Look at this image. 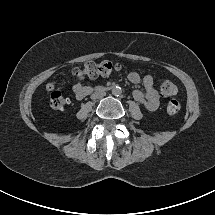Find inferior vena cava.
<instances>
[{"label":"inferior vena cava","mask_w":215,"mask_h":215,"mask_svg":"<svg viewBox=\"0 0 215 215\" xmlns=\"http://www.w3.org/2000/svg\"><path fill=\"white\" fill-rule=\"evenodd\" d=\"M106 94L104 92H98L96 95L93 96V100H97L103 98Z\"/></svg>","instance_id":"obj_1"}]
</instances>
